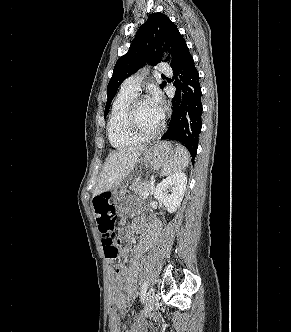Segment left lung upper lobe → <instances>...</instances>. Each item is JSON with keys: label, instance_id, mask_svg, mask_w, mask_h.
I'll use <instances>...</instances> for the list:
<instances>
[{"label": "left lung upper lobe", "instance_id": "obj_1", "mask_svg": "<svg viewBox=\"0 0 291 332\" xmlns=\"http://www.w3.org/2000/svg\"><path fill=\"white\" fill-rule=\"evenodd\" d=\"M186 46L177 26L165 14L159 12L150 14L147 21L139 27L128 52L117 61L114 67L107 87L108 100L104 117L108 114L111 101L120 84L127 77L136 72L147 61H150L151 65L159 63L163 56L162 51L171 53L170 66L173 67L180 59ZM165 84L166 82H163L160 87L163 88Z\"/></svg>", "mask_w": 291, "mask_h": 332}]
</instances>
